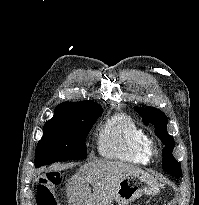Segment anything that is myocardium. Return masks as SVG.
<instances>
[{
	"label": "myocardium",
	"mask_w": 199,
	"mask_h": 205,
	"mask_svg": "<svg viewBox=\"0 0 199 205\" xmlns=\"http://www.w3.org/2000/svg\"><path fill=\"white\" fill-rule=\"evenodd\" d=\"M157 152L156 145L154 143H150V154L155 155Z\"/></svg>",
	"instance_id": "f54148a6"
}]
</instances>
